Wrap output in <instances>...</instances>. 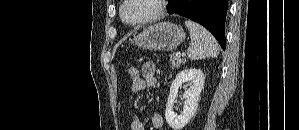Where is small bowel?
<instances>
[{
    "label": "small bowel",
    "mask_w": 299,
    "mask_h": 130,
    "mask_svg": "<svg viewBox=\"0 0 299 130\" xmlns=\"http://www.w3.org/2000/svg\"><path fill=\"white\" fill-rule=\"evenodd\" d=\"M156 84V66L153 62H146L142 66L140 79L131 83L130 91L133 95H138L147 88L155 87ZM151 124L154 129H161L164 125L162 115L155 113L151 117ZM130 127L131 130H146L143 121L134 115H130Z\"/></svg>",
    "instance_id": "small-bowel-1"
}]
</instances>
